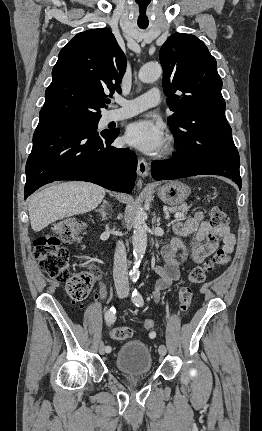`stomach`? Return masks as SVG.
Wrapping results in <instances>:
<instances>
[{
  "mask_svg": "<svg viewBox=\"0 0 262 431\" xmlns=\"http://www.w3.org/2000/svg\"><path fill=\"white\" fill-rule=\"evenodd\" d=\"M191 189L184 183L169 181L157 190L158 197L166 204L179 206L188 198Z\"/></svg>",
  "mask_w": 262,
  "mask_h": 431,
  "instance_id": "0dacf381",
  "label": "stomach"
}]
</instances>
